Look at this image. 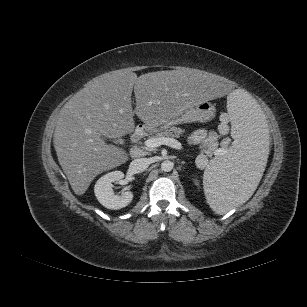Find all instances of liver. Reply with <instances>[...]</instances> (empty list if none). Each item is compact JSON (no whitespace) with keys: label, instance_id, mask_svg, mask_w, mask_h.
Returning <instances> with one entry per match:
<instances>
[{"label":"liver","instance_id":"liver-1","mask_svg":"<svg viewBox=\"0 0 307 307\" xmlns=\"http://www.w3.org/2000/svg\"><path fill=\"white\" fill-rule=\"evenodd\" d=\"M134 89L136 107L131 95ZM230 88L220 77L181 69L146 73L116 70L94 78L61 109L53 144L76 195H83L100 173L124 163L128 156L102 139L132 133L134 114L145 124L164 123L191 105L227 97Z\"/></svg>","mask_w":307,"mask_h":307}]
</instances>
